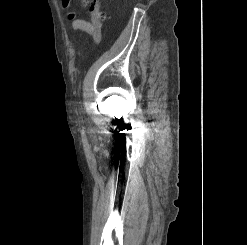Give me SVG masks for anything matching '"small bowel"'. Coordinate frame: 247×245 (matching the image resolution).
<instances>
[{
    "label": "small bowel",
    "instance_id": "1",
    "mask_svg": "<svg viewBox=\"0 0 247 245\" xmlns=\"http://www.w3.org/2000/svg\"><path fill=\"white\" fill-rule=\"evenodd\" d=\"M63 8L65 9V16L71 21V28L73 31H83L93 38L95 43L101 40V21L92 19L91 22L76 17L73 10L70 9V0H61Z\"/></svg>",
    "mask_w": 247,
    "mask_h": 245
}]
</instances>
